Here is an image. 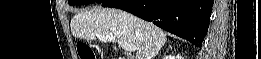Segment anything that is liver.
Returning a JSON list of instances; mask_svg holds the SVG:
<instances>
[{
  "mask_svg": "<svg viewBox=\"0 0 261 59\" xmlns=\"http://www.w3.org/2000/svg\"><path fill=\"white\" fill-rule=\"evenodd\" d=\"M75 38L95 40L110 36L136 47V59H153L167 42L166 33L152 23L115 8L94 7L78 12L71 19ZM117 52L116 46H113Z\"/></svg>",
  "mask_w": 261,
  "mask_h": 59,
  "instance_id": "obj_1",
  "label": "liver"
}]
</instances>
